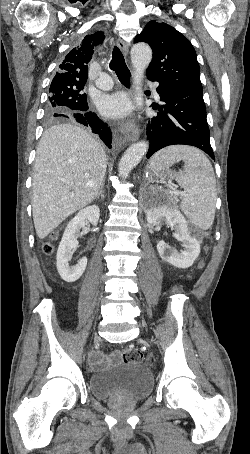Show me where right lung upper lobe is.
<instances>
[{
	"label": "right lung upper lobe",
	"mask_w": 250,
	"mask_h": 454,
	"mask_svg": "<svg viewBox=\"0 0 250 454\" xmlns=\"http://www.w3.org/2000/svg\"><path fill=\"white\" fill-rule=\"evenodd\" d=\"M103 32L87 35L83 41L66 55L59 65V70L54 76L50 86L85 85L87 81L88 63L92 59L94 47L102 44Z\"/></svg>",
	"instance_id": "obj_1"
}]
</instances>
